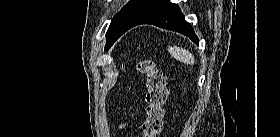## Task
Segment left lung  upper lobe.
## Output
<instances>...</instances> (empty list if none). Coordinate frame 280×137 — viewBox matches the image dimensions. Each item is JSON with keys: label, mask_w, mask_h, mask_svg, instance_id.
Masks as SVG:
<instances>
[{"label": "left lung upper lobe", "mask_w": 280, "mask_h": 137, "mask_svg": "<svg viewBox=\"0 0 280 137\" xmlns=\"http://www.w3.org/2000/svg\"><path fill=\"white\" fill-rule=\"evenodd\" d=\"M162 0H131L110 23L107 31L105 50H108L114 42L123 35L131 26L141 20L147 13L154 9Z\"/></svg>", "instance_id": "5c2ea615"}]
</instances>
